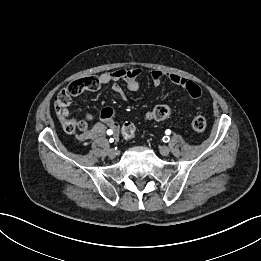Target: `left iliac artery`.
Wrapping results in <instances>:
<instances>
[{
    "instance_id": "1",
    "label": "left iliac artery",
    "mask_w": 261,
    "mask_h": 261,
    "mask_svg": "<svg viewBox=\"0 0 261 261\" xmlns=\"http://www.w3.org/2000/svg\"><path fill=\"white\" fill-rule=\"evenodd\" d=\"M165 133L167 134V135H169L170 133H171V131L169 130V129H167L166 131H165ZM169 140H170V138L168 137V136H164L163 137V141L164 142H169Z\"/></svg>"
}]
</instances>
